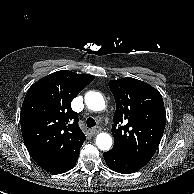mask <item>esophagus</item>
Segmentation results:
<instances>
[{
    "label": "esophagus",
    "instance_id": "esophagus-1",
    "mask_svg": "<svg viewBox=\"0 0 194 194\" xmlns=\"http://www.w3.org/2000/svg\"><path fill=\"white\" fill-rule=\"evenodd\" d=\"M100 131H101V128H100V127H95V128H92V129L90 130V133H91L92 135H96V134H98Z\"/></svg>",
    "mask_w": 194,
    "mask_h": 194
}]
</instances>
